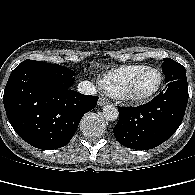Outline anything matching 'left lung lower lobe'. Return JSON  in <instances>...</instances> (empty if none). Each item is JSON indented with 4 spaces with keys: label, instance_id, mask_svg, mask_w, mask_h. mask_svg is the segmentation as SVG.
I'll use <instances>...</instances> for the list:
<instances>
[{
    "label": "left lung lower lobe",
    "instance_id": "1",
    "mask_svg": "<svg viewBox=\"0 0 195 195\" xmlns=\"http://www.w3.org/2000/svg\"><path fill=\"white\" fill-rule=\"evenodd\" d=\"M187 102V80L167 82L164 91L151 102L138 107H118L119 120L113 129L115 138L127 148H155L177 130Z\"/></svg>",
    "mask_w": 195,
    "mask_h": 195
}]
</instances>
